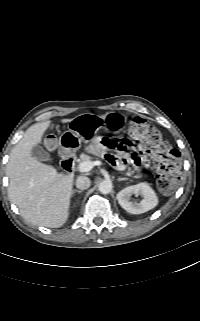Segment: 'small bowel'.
Returning a JSON list of instances; mask_svg holds the SVG:
<instances>
[{
	"instance_id": "1",
	"label": "small bowel",
	"mask_w": 200,
	"mask_h": 321,
	"mask_svg": "<svg viewBox=\"0 0 200 321\" xmlns=\"http://www.w3.org/2000/svg\"><path fill=\"white\" fill-rule=\"evenodd\" d=\"M136 141L130 136L116 134L114 137L101 135L99 137V149L114 150L116 154H106L108 162L119 169L132 164L136 169L147 166L148 159L145 153L135 146Z\"/></svg>"
}]
</instances>
